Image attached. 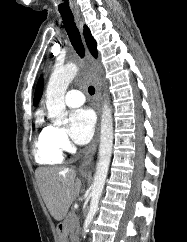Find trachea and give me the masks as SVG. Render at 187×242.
Wrapping results in <instances>:
<instances>
[{
	"label": "trachea",
	"mask_w": 187,
	"mask_h": 242,
	"mask_svg": "<svg viewBox=\"0 0 187 242\" xmlns=\"http://www.w3.org/2000/svg\"><path fill=\"white\" fill-rule=\"evenodd\" d=\"M60 14L63 19L64 28L66 29V32L69 36L72 46L74 47L77 54L81 58H84L85 56L84 46L81 40L79 30L74 22V17L72 12H60ZM88 92L90 95H94L95 88L93 86H90L88 88Z\"/></svg>",
	"instance_id": "obj_1"
}]
</instances>
